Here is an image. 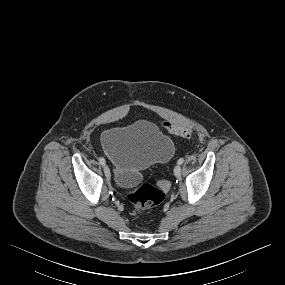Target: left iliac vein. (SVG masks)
Returning <instances> with one entry per match:
<instances>
[{
  "label": "left iliac vein",
  "instance_id": "4c4485c4",
  "mask_svg": "<svg viewBox=\"0 0 285 285\" xmlns=\"http://www.w3.org/2000/svg\"><path fill=\"white\" fill-rule=\"evenodd\" d=\"M174 175L176 177H180L181 176V167L179 165L175 166V168H174Z\"/></svg>",
  "mask_w": 285,
  "mask_h": 285
}]
</instances>
